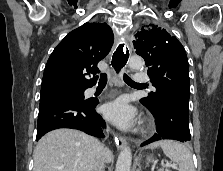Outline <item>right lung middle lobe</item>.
I'll use <instances>...</instances> for the list:
<instances>
[{
  "label": "right lung middle lobe",
  "mask_w": 223,
  "mask_h": 171,
  "mask_svg": "<svg viewBox=\"0 0 223 171\" xmlns=\"http://www.w3.org/2000/svg\"><path fill=\"white\" fill-rule=\"evenodd\" d=\"M56 99H75L80 101H90L89 99L87 100L84 99V91H75V92L60 93L46 98H40V104L46 101L56 100Z\"/></svg>",
  "instance_id": "obj_1"
}]
</instances>
